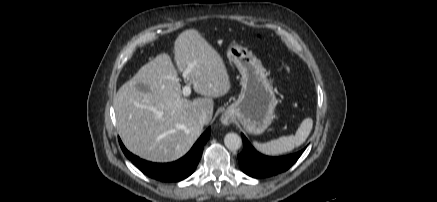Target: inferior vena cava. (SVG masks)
<instances>
[{
	"label": "inferior vena cava",
	"mask_w": 437,
	"mask_h": 202,
	"mask_svg": "<svg viewBox=\"0 0 437 202\" xmlns=\"http://www.w3.org/2000/svg\"><path fill=\"white\" fill-rule=\"evenodd\" d=\"M198 122H199L201 125L208 124V123H209V118H208L207 114L204 113V112L201 113V114L199 115V117H198Z\"/></svg>",
	"instance_id": "obj_1"
}]
</instances>
